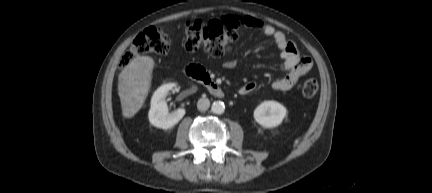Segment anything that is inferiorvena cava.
Listing matches in <instances>:
<instances>
[{
    "label": "inferior vena cava",
    "instance_id": "obj_1",
    "mask_svg": "<svg viewBox=\"0 0 432 193\" xmlns=\"http://www.w3.org/2000/svg\"><path fill=\"white\" fill-rule=\"evenodd\" d=\"M210 106L208 98H200L197 102V108L199 111H206Z\"/></svg>",
    "mask_w": 432,
    "mask_h": 193
}]
</instances>
